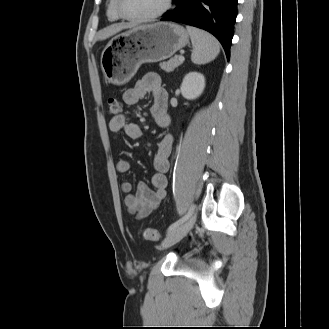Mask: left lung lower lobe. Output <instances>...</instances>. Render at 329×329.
I'll return each mask as SVG.
<instances>
[{
	"label": "left lung lower lobe",
	"mask_w": 329,
	"mask_h": 329,
	"mask_svg": "<svg viewBox=\"0 0 329 329\" xmlns=\"http://www.w3.org/2000/svg\"><path fill=\"white\" fill-rule=\"evenodd\" d=\"M177 7L162 21L185 23L213 34L222 44L227 59L237 16L238 0H173Z\"/></svg>",
	"instance_id": "obj_1"
}]
</instances>
